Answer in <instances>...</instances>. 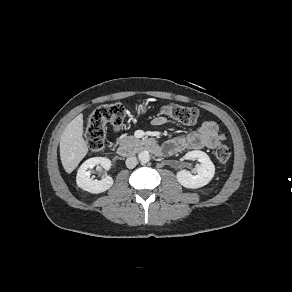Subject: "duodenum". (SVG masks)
Masks as SVG:
<instances>
[{
    "label": "duodenum",
    "instance_id": "410a0bca",
    "mask_svg": "<svg viewBox=\"0 0 292 292\" xmlns=\"http://www.w3.org/2000/svg\"><path fill=\"white\" fill-rule=\"evenodd\" d=\"M144 150H148L155 154L160 153L158 145L153 140L149 138L138 139L133 137L122 138L119 142L117 152L121 157H128Z\"/></svg>",
    "mask_w": 292,
    "mask_h": 292
}]
</instances>
